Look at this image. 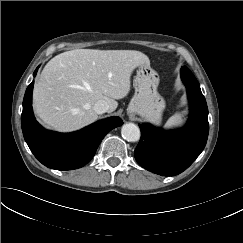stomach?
<instances>
[{
  "label": "stomach",
  "instance_id": "obj_1",
  "mask_svg": "<svg viewBox=\"0 0 243 243\" xmlns=\"http://www.w3.org/2000/svg\"><path fill=\"white\" fill-rule=\"evenodd\" d=\"M159 82V75L150 63L138 66L134 79L135 94L128 106L129 114L140 115L155 124L161 122L166 104L157 91Z\"/></svg>",
  "mask_w": 243,
  "mask_h": 243
}]
</instances>
